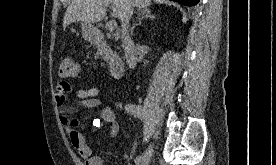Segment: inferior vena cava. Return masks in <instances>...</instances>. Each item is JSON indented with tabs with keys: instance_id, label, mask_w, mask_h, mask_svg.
I'll return each instance as SVG.
<instances>
[{
	"instance_id": "1",
	"label": "inferior vena cava",
	"mask_w": 276,
	"mask_h": 165,
	"mask_svg": "<svg viewBox=\"0 0 276 165\" xmlns=\"http://www.w3.org/2000/svg\"><path fill=\"white\" fill-rule=\"evenodd\" d=\"M124 12L121 18V39H122V46L125 51V57L127 59V63L129 64L130 68L135 67L136 60L134 54V46L131 38L129 37L128 28H129V21L133 14V6L131 0H124Z\"/></svg>"
}]
</instances>
